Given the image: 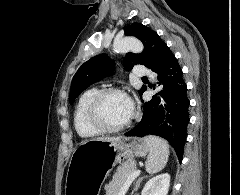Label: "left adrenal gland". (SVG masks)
I'll use <instances>...</instances> for the list:
<instances>
[{"mask_svg": "<svg viewBox=\"0 0 240 195\" xmlns=\"http://www.w3.org/2000/svg\"><path fill=\"white\" fill-rule=\"evenodd\" d=\"M144 177H148V175H143V177H138V179H136V183L134 185V191H137L142 179H144Z\"/></svg>", "mask_w": 240, "mask_h": 195, "instance_id": "1", "label": "left adrenal gland"}]
</instances>
